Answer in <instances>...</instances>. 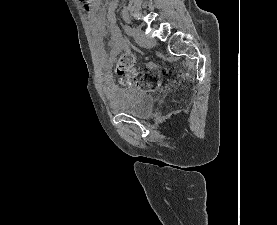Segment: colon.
<instances>
[{
	"mask_svg": "<svg viewBox=\"0 0 277 225\" xmlns=\"http://www.w3.org/2000/svg\"><path fill=\"white\" fill-rule=\"evenodd\" d=\"M134 62L132 54H122L117 62L118 73L125 74L130 71L134 66ZM157 76L158 74L153 70L140 71L133 76V84L138 89L154 91L158 86Z\"/></svg>",
	"mask_w": 277,
	"mask_h": 225,
	"instance_id": "obj_1",
	"label": "colon"
}]
</instances>
